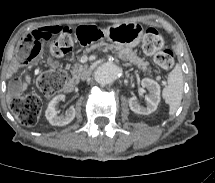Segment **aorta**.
I'll list each match as a JSON object with an SVG mask.
<instances>
[{"label": "aorta", "instance_id": "1", "mask_svg": "<svg viewBox=\"0 0 215 183\" xmlns=\"http://www.w3.org/2000/svg\"><path fill=\"white\" fill-rule=\"evenodd\" d=\"M122 75V69L113 62H105L97 67L94 72L96 82L111 84Z\"/></svg>", "mask_w": 215, "mask_h": 183}]
</instances>
